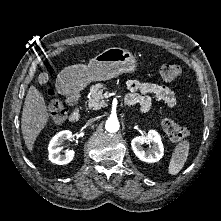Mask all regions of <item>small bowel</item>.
<instances>
[{"label": "small bowel", "instance_id": "1", "mask_svg": "<svg viewBox=\"0 0 221 221\" xmlns=\"http://www.w3.org/2000/svg\"><path fill=\"white\" fill-rule=\"evenodd\" d=\"M126 85L131 91L124 99L126 107L139 105L141 112L147 113L151 108L152 97L168 107H174L177 103L175 94L166 86L136 79L128 80Z\"/></svg>", "mask_w": 221, "mask_h": 221}]
</instances>
